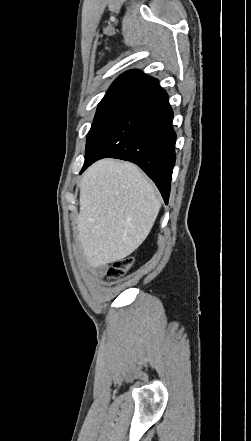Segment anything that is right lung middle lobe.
<instances>
[{"label": "right lung middle lobe", "instance_id": "dd1d6c3e", "mask_svg": "<svg viewBox=\"0 0 251 441\" xmlns=\"http://www.w3.org/2000/svg\"><path fill=\"white\" fill-rule=\"evenodd\" d=\"M132 103V101L126 100H107L99 103L93 124L87 136L85 159L89 156L94 145L104 132Z\"/></svg>", "mask_w": 251, "mask_h": 441}]
</instances>
